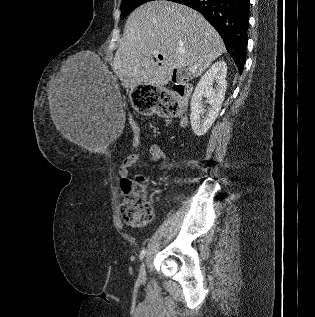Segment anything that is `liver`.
<instances>
[{
  "mask_svg": "<svg viewBox=\"0 0 315 317\" xmlns=\"http://www.w3.org/2000/svg\"><path fill=\"white\" fill-rule=\"evenodd\" d=\"M224 52L220 35L200 13L185 5L156 0L128 17L113 69L127 89L140 84L161 87L171 80L174 69L195 67L187 75L198 77ZM159 54L163 59L155 62L153 57ZM62 82L49 100L51 118L66 139L84 146L80 114L68 90L70 83Z\"/></svg>",
  "mask_w": 315,
  "mask_h": 317,
  "instance_id": "1",
  "label": "liver"
}]
</instances>
